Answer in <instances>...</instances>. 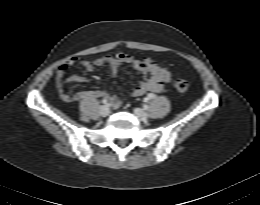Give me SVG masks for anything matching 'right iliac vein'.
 <instances>
[{
  "label": "right iliac vein",
  "mask_w": 260,
  "mask_h": 205,
  "mask_svg": "<svg viewBox=\"0 0 260 205\" xmlns=\"http://www.w3.org/2000/svg\"><path fill=\"white\" fill-rule=\"evenodd\" d=\"M99 113L102 117H107L110 114V109L108 106H101Z\"/></svg>",
  "instance_id": "63e3f726"
}]
</instances>
